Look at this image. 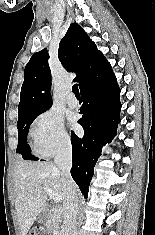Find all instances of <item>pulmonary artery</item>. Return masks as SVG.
I'll list each match as a JSON object with an SVG mask.
<instances>
[{"label": "pulmonary artery", "mask_w": 155, "mask_h": 235, "mask_svg": "<svg viewBox=\"0 0 155 235\" xmlns=\"http://www.w3.org/2000/svg\"><path fill=\"white\" fill-rule=\"evenodd\" d=\"M66 101H67L68 106L71 108H75L78 105L77 98L72 92L68 94Z\"/></svg>", "instance_id": "1"}]
</instances>
